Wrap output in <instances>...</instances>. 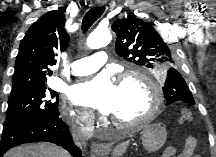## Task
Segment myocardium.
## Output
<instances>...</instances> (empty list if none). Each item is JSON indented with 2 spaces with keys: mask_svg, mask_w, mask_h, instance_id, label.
<instances>
[{
  "mask_svg": "<svg viewBox=\"0 0 216 157\" xmlns=\"http://www.w3.org/2000/svg\"><path fill=\"white\" fill-rule=\"evenodd\" d=\"M127 80H138L146 85L150 93L149 109L145 115H143L141 118L134 121L124 122L114 117H111V120L118 125L127 126V127H138L143 124L149 123L158 114L160 108L163 105V96L157 84L149 75H147L145 72H143L140 69H130L123 72L120 75L118 86H121Z\"/></svg>",
  "mask_w": 216,
  "mask_h": 157,
  "instance_id": "myocardium-1",
  "label": "myocardium"
}]
</instances>
